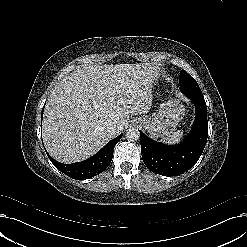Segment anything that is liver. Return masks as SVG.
Segmentation results:
<instances>
[{"label":"liver","instance_id":"liver-1","mask_svg":"<svg viewBox=\"0 0 247 247\" xmlns=\"http://www.w3.org/2000/svg\"><path fill=\"white\" fill-rule=\"evenodd\" d=\"M157 71L152 65H89L55 85L44 110L42 137L48 153L62 163L83 161L123 131L131 115L152 104ZM117 122L116 132L108 130Z\"/></svg>","mask_w":247,"mask_h":247}]
</instances>
